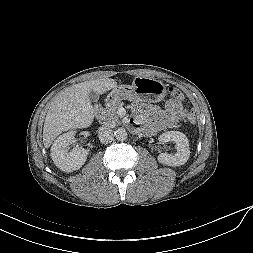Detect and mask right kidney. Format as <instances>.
Returning a JSON list of instances; mask_svg holds the SVG:
<instances>
[{
    "label": "right kidney",
    "mask_w": 253,
    "mask_h": 253,
    "mask_svg": "<svg viewBox=\"0 0 253 253\" xmlns=\"http://www.w3.org/2000/svg\"><path fill=\"white\" fill-rule=\"evenodd\" d=\"M74 131L59 136L51 148V158L54 164L64 172H73L80 169L87 160L89 150L75 148L66 151L68 144L74 139Z\"/></svg>",
    "instance_id": "right-kidney-1"
}]
</instances>
